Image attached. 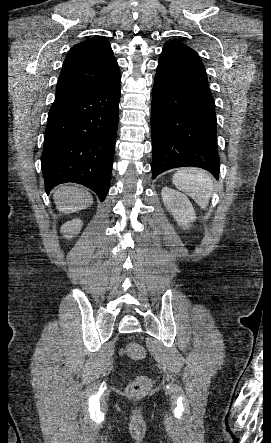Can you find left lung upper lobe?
I'll list each match as a JSON object with an SVG mask.
<instances>
[{
    "mask_svg": "<svg viewBox=\"0 0 271 443\" xmlns=\"http://www.w3.org/2000/svg\"><path fill=\"white\" fill-rule=\"evenodd\" d=\"M170 45H183V46H186V45H184L183 43H181L179 41H173V40H170V41L166 42V44H165V46H170Z\"/></svg>",
    "mask_w": 271,
    "mask_h": 443,
    "instance_id": "5c2ea615",
    "label": "left lung upper lobe"
}]
</instances>
